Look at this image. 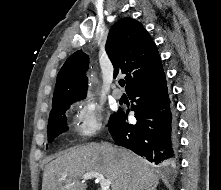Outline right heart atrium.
Listing matches in <instances>:
<instances>
[{
  "mask_svg": "<svg viewBox=\"0 0 221 190\" xmlns=\"http://www.w3.org/2000/svg\"><path fill=\"white\" fill-rule=\"evenodd\" d=\"M73 128L85 139L96 135L103 125V110L93 98L85 97L73 105Z\"/></svg>",
  "mask_w": 221,
  "mask_h": 190,
  "instance_id": "1",
  "label": "right heart atrium"
}]
</instances>
